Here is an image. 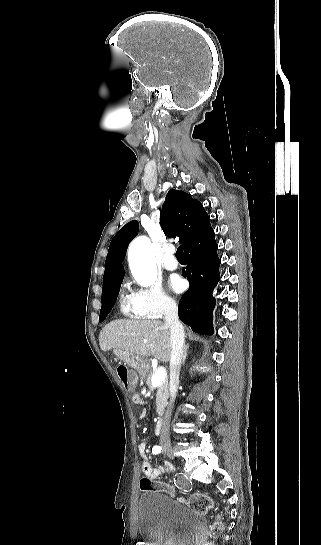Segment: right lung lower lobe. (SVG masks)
I'll list each match as a JSON object with an SVG mask.
<instances>
[{"mask_svg": "<svg viewBox=\"0 0 321 545\" xmlns=\"http://www.w3.org/2000/svg\"><path fill=\"white\" fill-rule=\"evenodd\" d=\"M217 249L211 225L184 248L187 266L182 275L189 280L190 287L179 302L178 313L180 320L199 334H213L215 298L212 292L220 279ZM115 300H110L109 312Z\"/></svg>", "mask_w": 321, "mask_h": 545, "instance_id": "obj_1", "label": "right lung lower lobe"}]
</instances>
